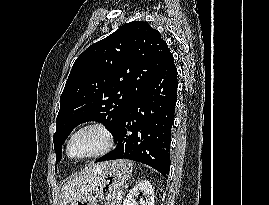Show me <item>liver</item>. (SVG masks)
Here are the masks:
<instances>
[{
    "mask_svg": "<svg viewBox=\"0 0 269 205\" xmlns=\"http://www.w3.org/2000/svg\"><path fill=\"white\" fill-rule=\"evenodd\" d=\"M109 162H102L90 165L82 174L68 180L62 187L63 204L66 205L73 200L82 197L92 191L103 170Z\"/></svg>",
    "mask_w": 269,
    "mask_h": 205,
    "instance_id": "liver-1",
    "label": "liver"
}]
</instances>
